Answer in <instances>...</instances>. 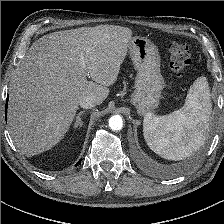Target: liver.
<instances>
[{
    "label": "liver",
    "mask_w": 224,
    "mask_h": 224,
    "mask_svg": "<svg viewBox=\"0 0 224 224\" xmlns=\"http://www.w3.org/2000/svg\"><path fill=\"white\" fill-rule=\"evenodd\" d=\"M131 35L129 28L100 25L53 32L30 46L13 76L8 105L9 131L23 155L57 145L82 97L97 104L107 98Z\"/></svg>",
    "instance_id": "liver-1"
}]
</instances>
